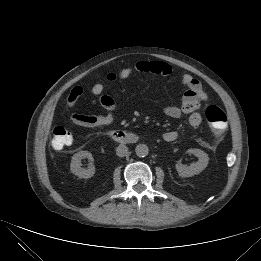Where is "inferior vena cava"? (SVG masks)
I'll return each instance as SVG.
<instances>
[{
	"mask_svg": "<svg viewBox=\"0 0 261 261\" xmlns=\"http://www.w3.org/2000/svg\"><path fill=\"white\" fill-rule=\"evenodd\" d=\"M116 154L119 157H124L128 154V147L126 145L120 144L116 149Z\"/></svg>",
	"mask_w": 261,
	"mask_h": 261,
	"instance_id": "obj_1",
	"label": "inferior vena cava"
}]
</instances>
